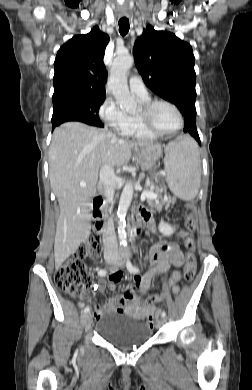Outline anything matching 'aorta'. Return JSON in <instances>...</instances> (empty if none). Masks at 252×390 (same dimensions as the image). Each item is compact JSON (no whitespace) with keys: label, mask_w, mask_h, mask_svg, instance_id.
Listing matches in <instances>:
<instances>
[{"label":"aorta","mask_w":252,"mask_h":390,"mask_svg":"<svg viewBox=\"0 0 252 390\" xmlns=\"http://www.w3.org/2000/svg\"><path fill=\"white\" fill-rule=\"evenodd\" d=\"M133 63L134 59L129 54L117 56L112 63L108 79V89L112 92L119 107L127 112H133L137 108V102L130 94L127 84V72ZM133 191V184L127 183L120 196L117 211L120 243H126L127 240L125 217L133 198Z\"/></svg>","instance_id":"obj_1"}]
</instances>
